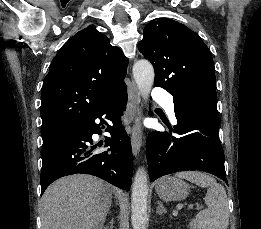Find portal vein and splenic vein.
Listing matches in <instances>:
<instances>
[{"instance_id":"portal-vein-and-splenic-vein-1","label":"portal vein and splenic vein","mask_w":261,"mask_h":229,"mask_svg":"<svg viewBox=\"0 0 261 229\" xmlns=\"http://www.w3.org/2000/svg\"><path fill=\"white\" fill-rule=\"evenodd\" d=\"M186 207V204L185 203H177L176 204V209H174L173 213L171 214V217L172 218H177L178 217V209L180 210H184ZM195 207L196 208H200L201 207V204L200 203H196L195 204ZM188 209H193V205H188Z\"/></svg>"}]
</instances>
